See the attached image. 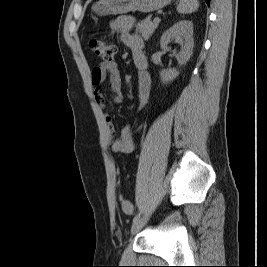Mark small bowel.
Here are the masks:
<instances>
[{
    "label": "small bowel",
    "instance_id": "obj_1",
    "mask_svg": "<svg viewBox=\"0 0 267 267\" xmlns=\"http://www.w3.org/2000/svg\"><path fill=\"white\" fill-rule=\"evenodd\" d=\"M133 18L122 15L117 17L112 23L113 29L119 31L122 35V41L131 49L133 61L138 69V88L140 107H143L148 100L151 88V77L147 71V59L143 53L144 42L141 37L131 33L133 27ZM94 90V98L98 106L105 112V121L107 123L108 135L113 138L115 129L112 116L108 113V107L100 85L108 80L111 97L115 103H121V75L116 62H103L96 66L91 73ZM111 149L115 153H131L134 150V129L131 125L122 128L120 136L113 140Z\"/></svg>",
    "mask_w": 267,
    "mask_h": 267
}]
</instances>
